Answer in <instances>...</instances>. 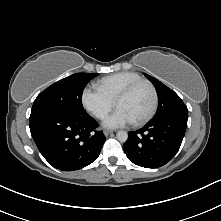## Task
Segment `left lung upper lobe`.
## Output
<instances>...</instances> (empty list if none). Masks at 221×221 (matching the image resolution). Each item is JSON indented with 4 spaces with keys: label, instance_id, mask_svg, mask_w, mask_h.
Wrapping results in <instances>:
<instances>
[{
    "label": "left lung upper lobe",
    "instance_id": "1",
    "mask_svg": "<svg viewBox=\"0 0 221 221\" xmlns=\"http://www.w3.org/2000/svg\"><path fill=\"white\" fill-rule=\"evenodd\" d=\"M144 75L153 83L158 94V110L152 121L159 120L172 114L188 113L186 105L174 91L156 78L148 74Z\"/></svg>",
    "mask_w": 221,
    "mask_h": 221
}]
</instances>
